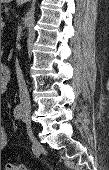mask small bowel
Instances as JSON below:
<instances>
[{"instance_id":"1","label":"small bowel","mask_w":109,"mask_h":170,"mask_svg":"<svg viewBox=\"0 0 109 170\" xmlns=\"http://www.w3.org/2000/svg\"><path fill=\"white\" fill-rule=\"evenodd\" d=\"M8 143V134L5 130L1 131V147H5Z\"/></svg>"}]
</instances>
